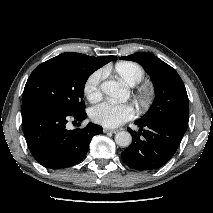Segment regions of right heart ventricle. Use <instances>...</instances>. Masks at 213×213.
Returning a JSON list of instances; mask_svg holds the SVG:
<instances>
[{"label": "right heart ventricle", "instance_id": "1", "mask_svg": "<svg viewBox=\"0 0 213 213\" xmlns=\"http://www.w3.org/2000/svg\"><path fill=\"white\" fill-rule=\"evenodd\" d=\"M115 71L130 86L139 84L145 77L144 69L139 64L130 61L117 63Z\"/></svg>", "mask_w": 213, "mask_h": 213}]
</instances>
